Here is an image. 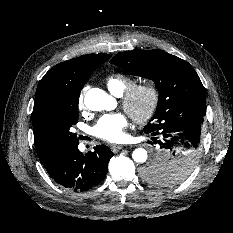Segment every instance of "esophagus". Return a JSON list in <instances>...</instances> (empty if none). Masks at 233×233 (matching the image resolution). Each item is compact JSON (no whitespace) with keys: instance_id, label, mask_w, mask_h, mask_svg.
Returning <instances> with one entry per match:
<instances>
[{"instance_id":"esophagus-1","label":"esophagus","mask_w":233,"mask_h":233,"mask_svg":"<svg viewBox=\"0 0 233 233\" xmlns=\"http://www.w3.org/2000/svg\"><path fill=\"white\" fill-rule=\"evenodd\" d=\"M123 148V145H117V144H114L111 146V150L113 152H118L119 150H121Z\"/></svg>"}]
</instances>
